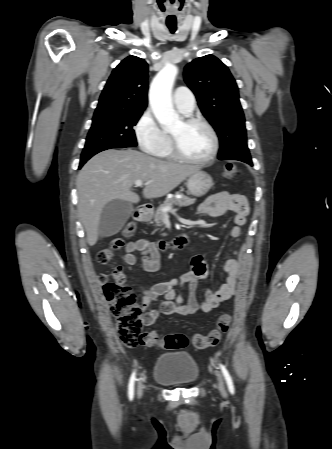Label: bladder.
<instances>
[{"instance_id":"obj_1","label":"bladder","mask_w":332,"mask_h":449,"mask_svg":"<svg viewBox=\"0 0 332 449\" xmlns=\"http://www.w3.org/2000/svg\"><path fill=\"white\" fill-rule=\"evenodd\" d=\"M200 370L195 357L189 352H170L158 356L153 378L166 386H184L194 383Z\"/></svg>"}]
</instances>
